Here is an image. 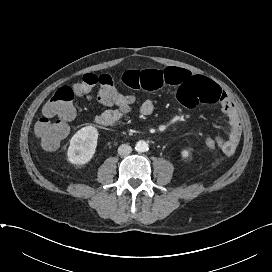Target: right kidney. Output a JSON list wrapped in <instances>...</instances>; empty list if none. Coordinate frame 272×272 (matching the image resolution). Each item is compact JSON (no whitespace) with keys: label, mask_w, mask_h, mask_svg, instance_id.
Instances as JSON below:
<instances>
[{"label":"right kidney","mask_w":272,"mask_h":272,"mask_svg":"<svg viewBox=\"0 0 272 272\" xmlns=\"http://www.w3.org/2000/svg\"><path fill=\"white\" fill-rule=\"evenodd\" d=\"M98 131L94 126H86L77 131L71 138L67 151L68 161L74 165H84L94 156Z\"/></svg>","instance_id":"obj_1"}]
</instances>
